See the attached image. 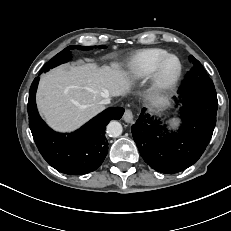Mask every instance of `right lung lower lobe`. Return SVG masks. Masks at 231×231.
<instances>
[{
  "mask_svg": "<svg viewBox=\"0 0 231 231\" xmlns=\"http://www.w3.org/2000/svg\"><path fill=\"white\" fill-rule=\"evenodd\" d=\"M38 82L39 77H36L30 87L27 111L29 126L39 152L49 165L68 175L96 170L108 153L105 127L111 120L120 119L124 109L108 108L73 133H57L38 114L35 102Z\"/></svg>",
  "mask_w": 231,
  "mask_h": 231,
  "instance_id": "right-lung-lower-lobe-1",
  "label": "right lung lower lobe"
}]
</instances>
